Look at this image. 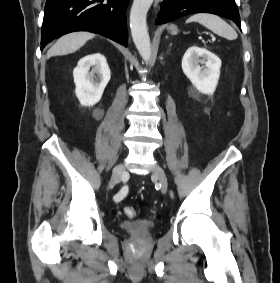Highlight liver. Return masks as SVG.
Returning <instances> with one entry per match:
<instances>
[{"label":"liver","mask_w":280,"mask_h":283,"mask_svg":"<svg viewBox=\"0 0 280 283\" xmlns=\"http://www.w3.org/2000/svg\"><path fill=\"white\" fill-rule=\"evenodd\" d=\"M94 37L95 34L89 32H74L64 35L49 49L47 57L73 53Z\"/></svg>","instance_id":"1"}]
</instances>
